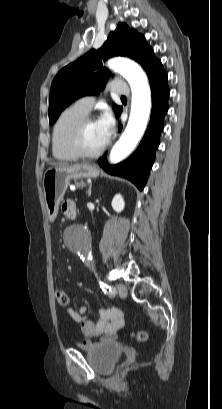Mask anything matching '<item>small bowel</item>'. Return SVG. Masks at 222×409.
I'll use <instances>...</instances> for the list:
<instances>
[{
  "label": "small bowel",
  "instance_id": "obj_1",
  "mask_svg": "<svg viewBox=\"0 0 222 409\" xmlns=\"http://www.w3.org/2000/svg\"><path fill=\"white\" fill-rule=\"evenodd\" d=\"M62 211L65 216L71 218L70 214L76 212L75 203L66 201L62 205ZM88 310V306H82L78 311L68 310L71 318L80 325L84 335V341L79 344V347L88 350L97 344L114 342L118 331L125 326L124 313L116 307H103L99 312V321L94 323L88 315Z\"/></svg>",
  "mask_w": 222,
  "mask_h": 409
}]
</instances>
